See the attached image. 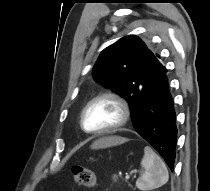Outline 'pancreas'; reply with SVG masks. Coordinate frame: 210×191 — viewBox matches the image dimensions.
<instances>
[{
  "label": "pancreas",
  "instance_id": "pancreas-1",
  "mask_svg": "<svg viewBox=\"0 0 210 191\" xmlns=\"http://www.w3.org/2000/svg\"><path fill=\"white\" fill-rule=\"evenodd\" d=\"M113 180H116V176L113 177Z\"/></svg>",
  "mask_w": 210,
  "mask_h": 191
}]
</instances>
